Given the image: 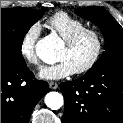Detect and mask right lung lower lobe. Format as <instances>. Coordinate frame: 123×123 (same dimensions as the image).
Here are the masks:
<instances>
[{
	"label": "right lung lower lobe",
	"instance_id": "obj_1",
	"mask_svg": "<svg viewBox=\"0 0 123 123\" xmlns=\"http://www.w3.org/2000/svg\"><path fill=\"white\" fill-rule=\"evenodd\" d=\"M49 91L25 63L1 60V123H29L33 108Z\"/></svg>",
	"mask_w": 123,
	"mask_h": 123
}]
</instances>
